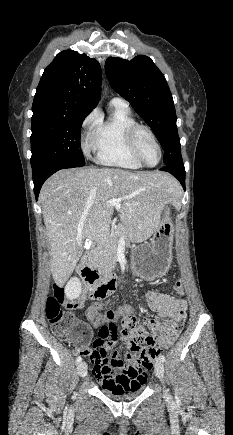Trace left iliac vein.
I'll use <instances>...</instances> for the list:
<instances>
[{
    "mask_svg": "<svg viewBox=\"0 0 233 435\" xmlns=\"http://www.w3.org/2000/svg\"><path fill=\"white\" fill-rule=\"evenodd\" d=\"M155 374L162 381L164 376V364L162 361L157 360L155 363Z\"/></svg>",
    "mask_w": 233,
    "mask_h": 435,
    "instance_id": "1",
    "label": "left iliac vein"
}]
</instances>
